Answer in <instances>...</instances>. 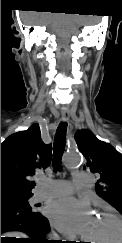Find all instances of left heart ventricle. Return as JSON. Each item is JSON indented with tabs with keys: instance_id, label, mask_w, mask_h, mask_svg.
I'll use <instances>...</instances> for the list:
<instances>
[{
	"instance_id": "b2bd125f",
	"label": "left heart ventricle",
	"mask_w": 122,
	"mask_h": 243,
	"mask_svg": "<svg viewBox=\"0 0 122 243\" xmlns=\"http://www.w3.org/2000/svg\"><path fill=\"white\" fill-rule=\"evenodd\" d=\"M116 236V226L107 217L98 215L91 219L84 238L93 240L92 243H110Z\"/></svg>"
}]
</instances>
